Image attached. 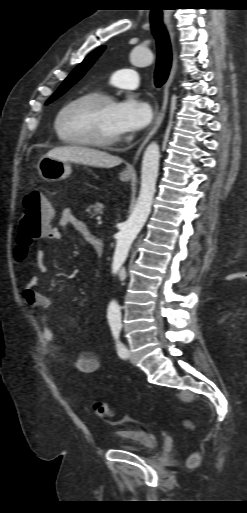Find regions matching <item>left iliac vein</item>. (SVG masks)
Listing matches in <instances>:
<instances>
[{
    "label": "left iliac vein",
    "instance_id": "4c4485c4",
    "mask_svg": "<svg viewBox=\"0 0 247 513\" xmlns=\"http://www.w3.org/2000/svg\"><path fill=\"white\" fill-rule=\"evenodd\" d=\"M129 360L133 365H136V359L134 358L133 354L131 352L128 353Z\"/></svg>",
    "mask_w": 247,
    "mask_h": 513
}]
</instances>
